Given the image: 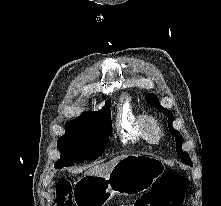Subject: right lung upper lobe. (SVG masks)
Returning <instances> with one entry per match:
<instances>
[{"mask_svg":"<svg viewBox=\"0 0 221 206\" xmlns=\"http://www.w3.org/2000/svg\"><path fill=\"white\" fill-rule=\"evenodd\" d=\"M109 108H110V101H107L106 105L102 108L101 111H99V112H93V111L92 112H86V113L82 114L81 116L88 115V114H93V113H106V112H110Z\"/></svg>","mask_w":221,"mask_h":206,"instance_id":"cb5924a9","label":"right lung upper lobe"}]
</instances>
